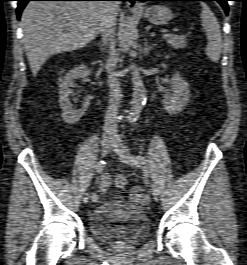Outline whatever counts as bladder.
Instances as JSON below:
<instances>
[{"label": "bladder", "instance_id": "bladder-1", "mask_svg": "<svg viewBox=\"0 0 247 265\" xmlns=\"http://www.w3.org/2000/svg\"><path fill=\"white\" fill-rule=\"evenodd\" d=\"M89 227L97 241L119 246L136 244L150 231L143 207L118 200L100 203L90 213Z\"/></svg>", "mask_w": 247, "mask_h": 265}]
</instances>
